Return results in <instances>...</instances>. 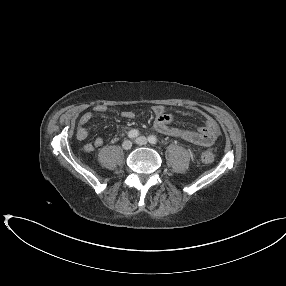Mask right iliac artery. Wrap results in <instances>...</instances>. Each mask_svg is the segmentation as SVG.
Returning a JSON list of instances; mask_svg holds the SVG:
<instances>
[{
    "label": "right iliac artery",
    "mask_w": 286,
    "mask_h": 286,
    "mask_svg": "<svg viewBox=\"0 0 286 286\" xmlns=\"http://www.w3.org/2000/svg\"><path fill=\"white\" fill-rule=\"evenodd\" d=\"M138 135H139V132H138V130H136V129H132V130H130V131L128 132V137H129L130 139H134V138H136Z\"/></svg>",
    "instance_id": "right-iliac-artery-1"
}]
</instances>
